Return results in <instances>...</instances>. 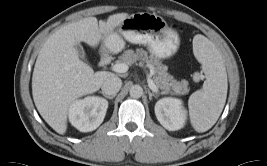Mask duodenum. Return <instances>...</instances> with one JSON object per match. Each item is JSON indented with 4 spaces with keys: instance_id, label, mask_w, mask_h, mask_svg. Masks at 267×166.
Masks as SVG:
<instances>
[{
    "instance_id": "duodenum-1",
    "label": "duodenum",
    "mask_w": 267,
    "mask_h": 166,
    "mask_svg": "<svg viewBox=\"0 0 267 166\" xmlns=\"http://www.w3.org/2000/svg\"><path fill=\"white\" fill-rule=\"evenodd\" d=\"M111 58L108 54L103 53L100 58V65L105 66L110 62Z\"/></svg>"
}]
</instances>
